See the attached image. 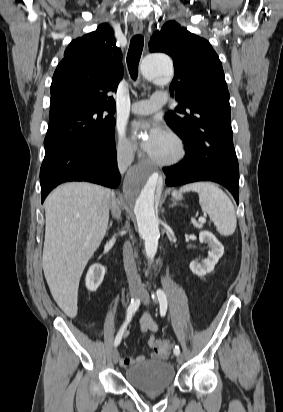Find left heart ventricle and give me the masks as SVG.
Returning a JSON list of instances; mask_svg holds the SVG:
<instances>
[{
    "instance_id": "1",
    "label": "left heart ventricle",
    "mask_w": 283,
    "mask_h": 412,
    "mask_svg": "<svg viewBox=\"0 0 283 412\" xmlns=\"http://www.w3.org/2000/svg\"><path fill=\"white\" fill-rule=\"evenodd\" d=\"M177 152L176 144L166 134L156 148L149 154L160 160H167L172 158Z\"/></svg>"
}]
</instances>
